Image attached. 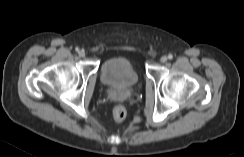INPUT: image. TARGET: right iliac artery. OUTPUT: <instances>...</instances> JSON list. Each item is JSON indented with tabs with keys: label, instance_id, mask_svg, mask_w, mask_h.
Returning <instances> with one entry per match:
<instances>
[{
	"label": "right iliac artery",
	"instance_id": "1",
	"mask_svg": "<svg viewBox=\"0 0 244 157\" xmlns=\"http://www.w3.org/2000/svg\"><path fill=\"white\" fill-rule=\"evenodd\" d=\"M77 52H79V48L77 47L76 49H75Z\"/></svg>",
	"mask_w": 244,
	"mask_h": 157
}]
</instances>
